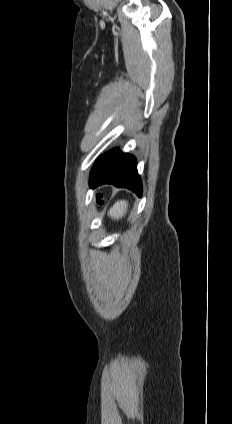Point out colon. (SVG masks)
<instances>
[{
	"mask_svg": "<svg viewBox=\"0 0 232 424\" xmlns=\"http://www.w3.org/2000/svg\"><path fill=\"white\" fill-rule=\"evenodd\" d=\"M100 200H101V199H98V202H99V203H100Z\"/></svg>",
	"mask_w": 232,
	"mask_h": 424,
	"instance_id": "1",
	"label": "colon"
}]
</instances>
